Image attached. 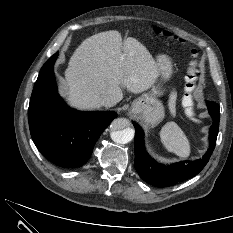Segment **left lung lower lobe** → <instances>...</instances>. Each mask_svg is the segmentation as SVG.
Instances as JSON below:
<instances>
[{"label":"left lung lower lobe","instance_id":"left-lung-lower-lobe-1","mask_svg":"<svg viewBox=\"0 0 233 233\" xmlns=\"http://www.w3.org/2000/svg\"><path fill=\"white\" fill-rule=\"evenodd\" d=\"M207 107L213 119V124L209 130L210 148L203 159L197 161H181L165 166L157 163L144 149L143 133L140 127L133 122L135 127V168L140 177L147 183L156 187H167L189 179L198 174L207 164L215 148L219 129V105L208 101Z\"/></svg>","mask_w":233,"mask_h":233}]
</instances>
